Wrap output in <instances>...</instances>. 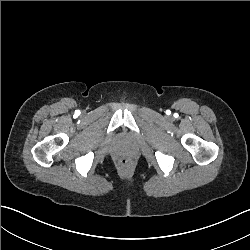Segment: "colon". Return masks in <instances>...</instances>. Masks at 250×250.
I'll list each match as a JSON object with an SVG mask.
<instances>
[{"mask_svg": "<svg viewBox=\"0 0 250 250\" xmlns=\"http://www.w3.org/2000/svg\"><path fill=\"white\" fill-rule=\"evenodd\" d=\"M136 167V162L131 157H122L117 162V168L119 172L123 175L131 174Z\"/></svg>", "mask_w": 250, "mask_h": 250, "instance_id": "obj_1", "label": "colon"}]
</instances>
